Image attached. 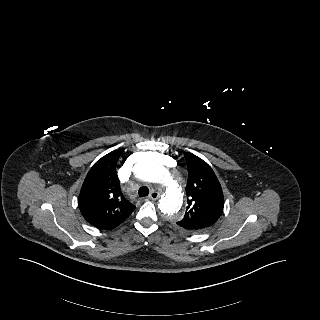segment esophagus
Instances as JSON below:
<instances>
[{"instance_id":"esophagus-1","label":"esophagus","mask_w":320,"mask_h":320,"mask_svg":"<svg viewBox=\"0 0 320 320\" xmlns=\"http://www.w3.org/2000/svg\"><path fill=\"white\" fill-rule=\"evenodd\" d=\"M159 196H160V193H159V192H157V191H152V192L150 193V195L148 196V199H150V200H156V199L159 198Z\"/></svg>"}]
</instances>
